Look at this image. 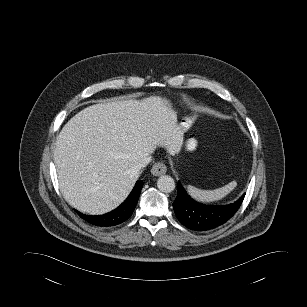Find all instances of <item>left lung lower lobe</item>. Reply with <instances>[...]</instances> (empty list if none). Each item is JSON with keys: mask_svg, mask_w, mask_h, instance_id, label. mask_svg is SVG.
Returning a JSON list of instances; mask_svg holds the SVG:
<instances>
[{"mask_svg": "<svg viewBox=\"0 0 307 307\" xmlns=\"http://www.w3.org/2000/svg\"><path fill=\"white\" fill-rule=\"evenodd\" d=\"M244 197L245 193L227 205H205L193 200L178 182L177 198L173 202V208L184 226L195 231H206L227 222L237 212Z\"/></svg>", "mask_w": 307, "mask_h": 307, "instance_id": "1", "label": "left lung lower lobe"}]
</instances>
